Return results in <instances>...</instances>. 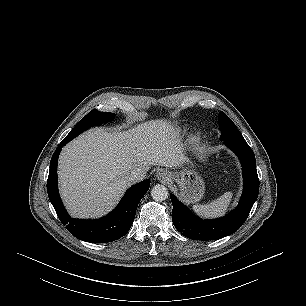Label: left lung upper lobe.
<instances>
[{
  "label": "left lung upper lobe",
  "instance_id": "1",
  "mask_svg": "<svg viewBox=\"0 0 306 306\" xmlns=\"http://www.w3.org/2000/svg\"><path fill=\"white\" fill-rule=\"evenodd\" d=\"M219 123L222 140H245L232 120L222 111L219 114Z\"/></svg>",
  "mask_w": 306,
  "mask_h": 306
}]
</instances>
